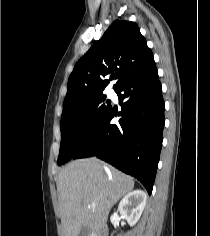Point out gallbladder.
Masks as SVG:
<instances>
[{"instance_id":"obj_1","label":"gallbladder","mask_w":210,"mask_h":236,"mask_svg":"<svg viewBox=\"0 0 210 236\" xmlns=\"http://www.w3.org/2000/svg\"><path fill=\"white\" fill-rule=\"evenodd\" d=\"M88 234H89L88 228L86 226H84L80 230L78 236H89Z\"/></svg>"}]
</instances>
